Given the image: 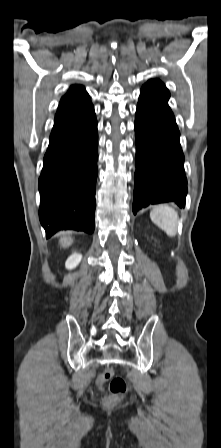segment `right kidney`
Masks as SVG:
<instances>
[{"mask_svg":"<svg viewBox=\"0 0 221 448\" xmlns=\"http://www.w3.org/2000/svg\"><path fill=\"white\" fill-rule=\"evenodd\" d=\"M82 255L80 253H73L66 261L65 267L69 270L74 269L80 263Z\"/></svg>","mask_w":221,"mask_h":448,"instance_id":"1","label":"right kidney"}]
</instances>
